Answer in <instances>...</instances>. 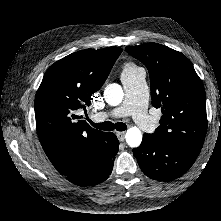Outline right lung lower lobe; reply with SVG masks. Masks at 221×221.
<instances>
[{"mask_svg":"<svg viewBox=\"0 0 221 221\" xmlns=\"http://www.w3.org/2000/svg\"><path fill=\"white\" fill-rule=\"evenodd\" d=\"M103 143L104 154L100 162L64 174L66 179L79 186H93L105 181L112 171L119 141L113 133L107 132L103 137Z\"/></svg>","mask_w":221,"mask_h":221,"instance_id":"right-lung-lower-lobe-1","label":"right lung lower lobe"}]
</instances>
